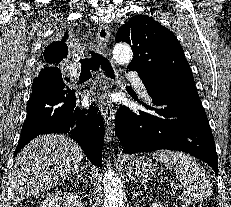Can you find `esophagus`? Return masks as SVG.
<instances>
[{
	"mask_svg": "<svg viewBox=\"0 0 231 207\" xmlns=\"http://www.w3.org/2000/svg\"><path fill=\"white\" fill-rule=\"evenodd\" d=\"M110 38V30L109 26L107 24H101L98 27L97 31V42H98V48L100 51H105L107 44L109 42ZM107 88L105 87L104 94H103V100L101 103V113L104 118L105 124H106V132L107 135L111 136L114 133V120H115V113L116 109L111 101L106 99L107 96Z\"/></svg>",
	"mask_w": 231,
	"mask_h": 207,
	"instance_id": "1",
	"label": "esophagus"
}]
</instances>
